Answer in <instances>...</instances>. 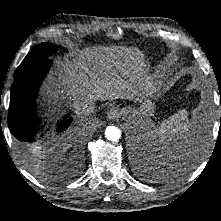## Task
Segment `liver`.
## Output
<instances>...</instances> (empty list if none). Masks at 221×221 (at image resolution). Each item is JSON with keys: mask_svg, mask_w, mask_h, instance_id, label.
Listing matches in <instances>:
<instances>
[{"mask_svg": "<svg viewBox=\"0 0 221 221\" xmlns=\"http://www.w3.org/2000/svg\"><path fill=\"white\" fill-rule=\"evenodd\" d=\"M144 54L125 46L81 50L71 60L57 61L59 84L44 87L48 104H57L59 94L74 106L83 97L94 101L132 98L144 68ZM39 152L45 148L36 147Z\"/></svg>", "mask_w": 221, "mask_h": 221, "instance_id": "6515ba94", "label": "liver"}]
</instances>
